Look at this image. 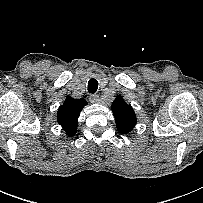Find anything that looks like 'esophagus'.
Returning a JSON list of instances; mask_svg holds the SVG:
<instances>
[{
    "mask_svg": "<svg viewBox=\"0 0 203 203\" xmlns=\"http://www.w3.org/2000/svg\"><path fill=\"white\" fill-rule=\"evenodd\" d=\"M89 100L91 103H99V96L96 94H91L89 96Z\"/></svg>",
    "mask_w": 203,
    "mask_h": 203,
    "instance_id": "34e87169",
    "label": "esophagus"
}]
</instances>
